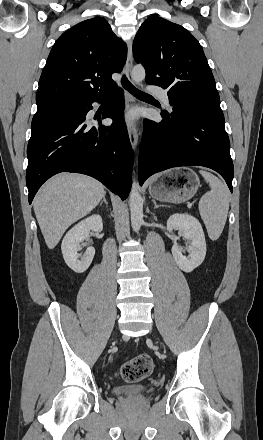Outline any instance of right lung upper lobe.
I'll return each mask as SVG.
<instances>
[{"label":"right lung upper lobe","instance_id":"right-lung-upper-lobe-1","mask_svg":"<svg viewBox=\"0 0 263 440\" xmlns=\"http://www.w3.org/2000/svg\"><path fill=\"white\" fill-rule=\"evenodd\" d=\"M127 58L126 44L102 17L64 32L52 47L36 94L37 107L76 102L106 93Z\"/></svg>","mask_w":263,"mask_h":440}]
</instances>
